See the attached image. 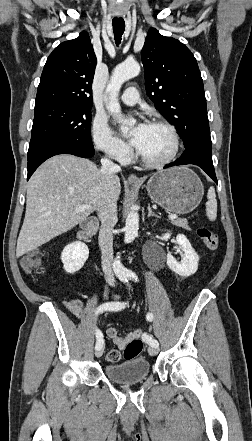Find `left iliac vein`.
<instances>
[{
    "instance_id": "left-iliac-vein-1",
    "label": "left iliac vein",
    "mask_w": 252,
    "mask_h": 441,
    "mask_svg": "<svg viewBox=\"0 0 252 441\" xmlns=\"http://www.w3.org/2000/svg\"><path fill=\"white\" fill-rule=\"evenodd\" d=\"M158 351H159L158 347L151 346V347L148 348V352L152 356L158 354Z\"/></svg>"
}]
</instances>
